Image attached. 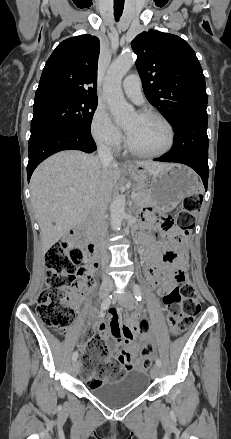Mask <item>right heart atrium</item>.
Returning <instances> with one entry per match:
<instances>
[{
  "label": "right heart atrium",
  "instance_id": "right-heart-atrium-1",
  "mask_svg": "<svg viewBox=\"0 0 231 439\" xmlns=\"http://www.w3.org/2000/svg\"><path fill=\"white\" fill-rule=\"evenodd\" d=\"M90 132L93 140L107 149H118L123 140L120 128L112 121L103 106L96 107L90 123Z\"/></svg>",
  "mask_w": 231,
  "mask_h": 439
}]
</instances>
